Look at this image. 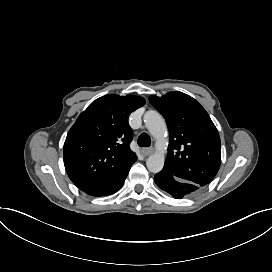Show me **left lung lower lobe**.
I'll list each match as a JSON object with an SVG mask.
<instances>
[{
    "instance_id": "1",
    "label": "left lung lower lobe",
    "mask_w": 272,
    "mask_h": 272,
    "mask_svg": "<svg viewBox=\"0 0 272 272\" xmlns=\"http://www.w3.org/2000/svg\"><path fill=\"white\" fill-rule=\"evenodd\" d=\"M154 181L160 189L175 199H182L201 189V186L179 179L165 170H161L157 173L154 177Z\"/></svg>"
}]
</instances>
